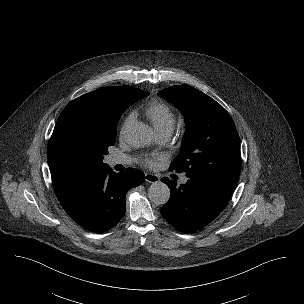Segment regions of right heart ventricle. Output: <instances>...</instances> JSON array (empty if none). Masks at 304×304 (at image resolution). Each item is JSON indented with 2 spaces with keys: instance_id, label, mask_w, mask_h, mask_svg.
Here are the masks:
<instances>
[{
  "instance_id": "right-heart-ventricle-1",
  "label": "right heart ventricle",
  "mask_w": 304,
  "mask_h": 304,
  "mask_svg": "<svg viewBox=\"0 0 304 304\" xmlns=\"http://www.w3.org/2000/svg\"><path fill=\"white\" fill-rule=\"evenodd\" d=\"M146 114L156 131L169 130L172 132L176 114L167 103L160 100L152 101L146 109Z\"/></svg>"
}]
</instances>
